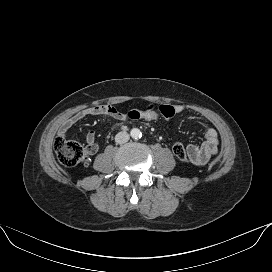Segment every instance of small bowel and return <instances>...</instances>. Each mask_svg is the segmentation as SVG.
I'll return each instance as SVG.
<instances>
[{"mask_svg":"<svg viewBox=\"0 0 272 272\" xmlns=\"http://www.w3.org/2000/svg\"><path fill=\"white\" fill-rule=\"evenodd\" d=\"M152 106L153 105H149ZM176 112L178 114L184 111L182 105L175 106ZM105 115L119 121L128 120L127 113H123L116 109L115 107L108 104L95 105L83 110H80L73 115L65 118L60 126L58 135L59 137L65 138L69 130L76 125L78 122L84 120L89 116H99ZM86 150L87 153L92 155L98 151V145L95 142V133L89 131L85 135ZM219 137L216 129L210 127L207 128L204 132V141L201 145L189 144L186 148L188 157L190 161L196 165L205 164L213 155L218 152Z\"/></svg>","mask_w":272,"mask_h":272,"instance_id":"obj_1","label":"small bowel"}]
</instances>
